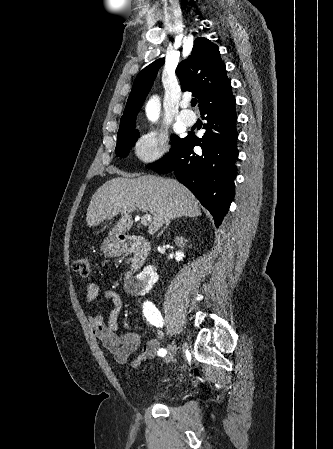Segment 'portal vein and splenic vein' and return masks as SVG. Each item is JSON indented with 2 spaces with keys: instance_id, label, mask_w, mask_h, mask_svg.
I'll list each match as a JSON object with an SVG mask.
<instances>
[{
  "instance_id": "1",
  "label": "portal vein and splenic vein",
  "mask_w": 333,
  "mask_h": 449,
  "mask_svg": "<svg viewBox=\"0 0 333 449\" xmlns=\"http://www.w3.org/2000/svg\"><path fill=\"white\" fill-rule=\"evenodd\" d=\"M151 221H152L151 215L146 214V215H144V216H141V223H142L143 225L146 226V225H148Z\"/></svg>"
}]
</instances>
